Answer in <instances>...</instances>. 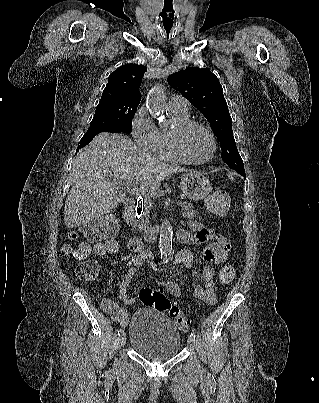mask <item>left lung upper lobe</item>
<instances>
[{
	"label": "left lung upper lobe",
	"mask_w": 319,
	"mask_h": 403,
	"mask_svg": "<svg viewBox=\"0 0 319 403\" xmlns=\"http://www.w3.org/2000/svg\"><path fill=\"white\" fill-rule=\"evenodd\" d=\"M167 80L209 121L220 142L222 160L232 170L238 173L244 172L223 88L216 75L208 69L192 67L170 75Z\"/></svg>",
	"instance_id": "1"
}]
</instances>
